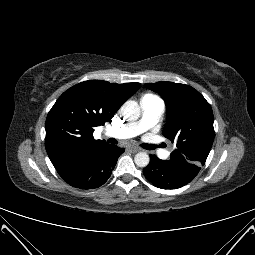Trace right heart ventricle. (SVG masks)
<instances>
[{
  "instance_id": "1",
  "label": "right heart ventricle",
  "mask_w": 255,
  "mask_h": 255,
  "mask_svg": "<svg viewBox=\"0 0 255 255\" xmlns=\"http://www.w3.org/2000/svg\"><path fill=\"white\" fill-rule=\"evenodd\" d=\"M150 96H153V95L148 94V95H145L144 97H150ZM144 97H143V98H144Z\"/></svg>"
}]
</instances>
